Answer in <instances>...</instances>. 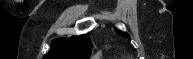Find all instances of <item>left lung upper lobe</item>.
I'll return each instance as SVG.
<instances>
[{
    "label": "left lung upper lobe",
    "instance_id": "left-lung-upper-lobe-1",
    "mask_svg": "<svg viewBox=\"0 0 193 59\" xmlns=\"http://www.w3.org/2000/svg\"><path fill=\"white\" fill-rule=\"evenodd\" d=\"M115 31H116L119 35H121V36H123V37H125V38H127V39L130 40V35H129L128 33L123 32V31H121V30H119V29H117V28H115Z\"/></svg>",
    "mask_w": 193,
    "mask_h": 59
}]
</instances>
